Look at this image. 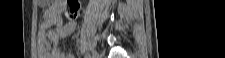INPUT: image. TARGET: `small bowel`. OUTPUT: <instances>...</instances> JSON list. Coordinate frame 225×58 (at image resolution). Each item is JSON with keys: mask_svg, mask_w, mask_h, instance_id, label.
<instances>
[{"mask_svg": "<svg viewBox=\"0 0 225 58\" xmlns=\"http://www.w3.org/2000/svg\"><path fill=\"white\" fill-rule=\"evenodd\" d=\"M66 3L63 0L54 1L44 11L37 34L38 58H74L73 53H65L58 47L60 39L72 34L76 22H63Z\"/></svg>", "mask_w": 225, "mask_h": 58, "instance_id": "c3829d8e", "label": "small bowel"}]
</instances>
